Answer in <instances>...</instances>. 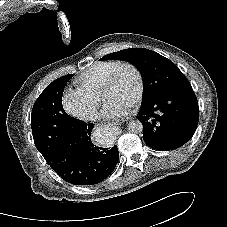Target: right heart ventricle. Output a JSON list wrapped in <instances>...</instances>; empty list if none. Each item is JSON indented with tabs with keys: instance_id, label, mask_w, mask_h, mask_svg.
<instances>
[{
	"instance_id": "1",
	"label": "right heart ventricle",
	"mask_w": 227,
	"mask_h": 227,
	"mask_svg": "<svg viewBox=\"0 0 227 227\" xmlns=\"http://www.w3.org/2000/svg\"><path fill=\"white\" fill-rule=\"evenodd\" d=\"M120 63L118 60L98 61L77 76L74 84L77 89L96 97L101 92V88L108 76Z\"/></svg>"
}]
</instances>
